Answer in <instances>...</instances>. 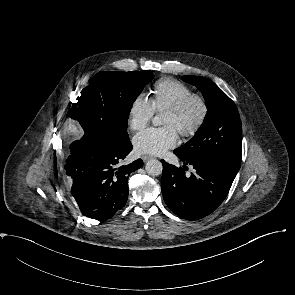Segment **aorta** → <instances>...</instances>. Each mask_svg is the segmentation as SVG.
Segmentation results:
<instances>
[{"label":"aorta","mask_w":295,"mask_h":295,"mask_svg":"<svg viewBox=\"0 0 295 295\" xmlns=\"http://www.w3.org/2000/svg\"><path fill=\"white\" fill-rule=\"evenodd\" d=\"M154 126H160L162 124L161 118L155 116L152 120ZM146 172L150 176H159L162 174L163 166L159 160H149L145 166Z\"/></svg>","instance_id":"obj_1"}]
</instances>
